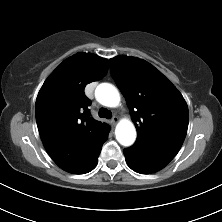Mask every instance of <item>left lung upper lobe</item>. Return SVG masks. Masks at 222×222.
<instances>
[{"instance_id": "5c2ea615", "label": "left lung upper lobe", "mask_w": 222, "mask_h": 222, "mask_svg": "<svg viewBox=\"0 0 222 222\" xmlns=\"http://www.w3.org/2000/svg\"><path fill=\"white\" fill-rule=\"evenodd\" d=\"M110 65L138 133L137 141L124 149V154L160 170L184 142L187 104L174 85L147 61L117 56L110 59Z\"/></svg>"}]
</instances>
